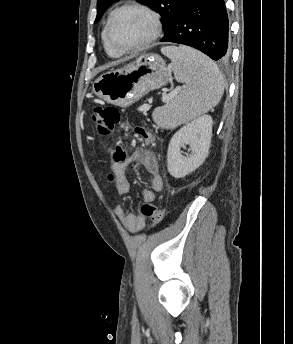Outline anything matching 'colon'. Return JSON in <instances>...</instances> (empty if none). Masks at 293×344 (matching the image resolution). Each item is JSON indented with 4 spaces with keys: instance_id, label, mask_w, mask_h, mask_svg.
Segmentation results:
<instances>
[{
    "instance_id": "colon-1",
    "label": "colon",
    "mask_w": 293,
    "mask_h": 344,
    "mask_svg": "<svg viewBox=\"0 0 293 344\" xmlns=\"http://www.w3.org/2000/svg\"><path fill=\"white\" fill-rule=\"evenodd\" d=\"M91 118L97 134L102 138L110 139L114 135L116 127L120 122L121 113L119 109L115 107L98 106L93 108ZM135 135L144 144L149 145L154 143L152 133L145 128L137 127L135 129ZM126 158V150L120 144L115 143V146L111 148V159L113 164L124 163ZM141 212L151 217L154 225L160 224L163 220L164 212L157 204L145 202L141 207Z\"/></svg>"
}]
</instances>
